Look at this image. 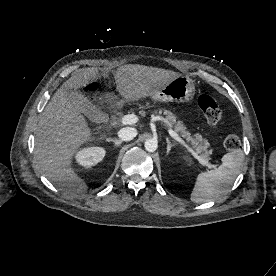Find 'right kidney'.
Instances as JSON below:
<instances>
[{
	"mask_svg": "<svg viewBox=\"0 0 276 276\" xmlns=\"http://www.w3.org/2000/svg\"><path fill=\"white\" fill-rule=\"evenodd\" d=\"M105 154L106 151L102 147H88L76 154V160L81 166L89 168L102 161Z\"/></svg>",
	"mask_w": 276,
	"mask_h": 276,
	"instance_id": "right-kidney-1",
	"label": "right kidney"
}]
</instances>
